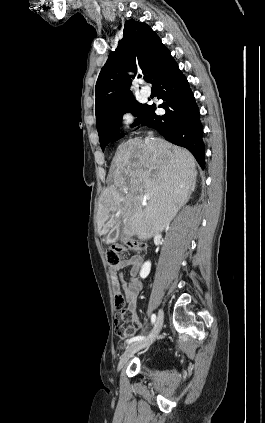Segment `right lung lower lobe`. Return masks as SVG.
<instances>
[{
  "label": "right lung lower lobe",
  "instance_id": "right-lung-lower-lobe-1",
  "mask_svg": "<svg viewBox=\"0 0 265 423\" xmlns=\"http://www.w3.org/2000/svg\"><path fill=\"white\" fill-rule=\"evenodd\" d=\"M158 90L159 105L166 110L163 116L154 113L155 105L148 107L143 126L157 130L164 138L187 148L204 169V144L199 110L187 79L174 59L158 73L152 82Z\"/></svg>",
  "mask_w": 265,
  "mask_h": 423
}]
</instances>
